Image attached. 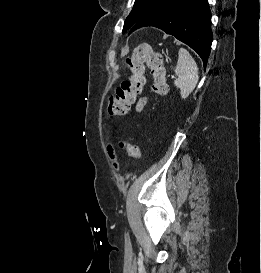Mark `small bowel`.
I'll return each mask as SVG.
<instances>
[{"label": "small bowel", "instance_id": "obj_1", "mask_svg": "<svg viewBox=\"0 0 261 273\" xmlns=\"http://www.w3.org/2000/svg\"><path fill=\"white\" fill-rule=\"evenodd\" d=\"M148 102V98L147 97H141L138 102H137V105H136V110L138 112L142 111L143 108L145 107V105L147 104ZM107 151H108V154L112 160V163H113V166L116 170L119 169V163H118V159H117V154H116V151H115V147L112 143H110L108 146H107Z\"/></svg>", "mask_w": 261, "mask_h": 273}]
</instances>
